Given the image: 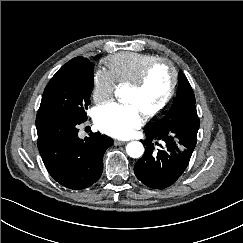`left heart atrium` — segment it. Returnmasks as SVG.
I'll return each mask as SVG.
<instances>
[{
    "instance_id": "39dd6f15",
    "label": "left heart atrium",
    "mask_w": 243,
    "mask_h": 243,
    "mask_svg": "<svg viewBox=\"0 0 243 243\" xmlns=\"http://www.w3.org/2000/svg\"><path fill=\"white\" fill-rule=\"evenodd\" d=\"M96 126L114 137H127L143 122V114L132 103H109L98 107L94 113Z\"/></svg>"
}]
</instances>
